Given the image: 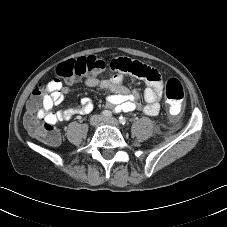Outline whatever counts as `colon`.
Masks as SVG:
<instances>
[{"instance_id": "colon-1", "label": "colon", "mask_w": 227, "mask_h": 227, "mask_svg": "<svg viewBox=\"0 0 227 227\" xmlns=\"http://www.w3.org/2000/svg\"><path fill=\"white\" fill-rule=\"evenodd\" d=\"M106 67L103 59L88 55L63 62L58 68L59 77L50 79L36 88L27 103L25 125L32 136L43 143L56 146L60 142V134L55 126L41 123L37 117L36 109L43 102L46 91H53L61 86V79L76 80L87 73L97 74ZM131 73L141 77L156 79L155 71L148 65L133 60L131 65L125 67ZM185 93L180 80L175 76L168 77L165 89V103L173 112H180L183 107Z\"/></svg>"}]
</instances>
